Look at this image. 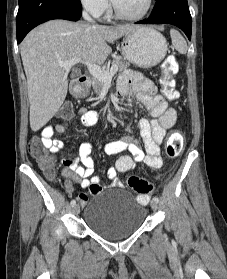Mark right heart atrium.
Masks as SVG:
<instances>
[{"mask_svg": "<svg viewBox=\"0 0 227 279\" xmlns=\"http://www.w3.org/2000/svg\"><path fill=\"white\" fill-rule=\"evenodd\" d=\"M80 4L94 16L104 14L108 8V0H79Z\"/></svg>", "mask_w": 227, "mask_h": 279, "instance_id": "right-heart-atrium-1", "label": "right heart atrium"}]
</instances>
